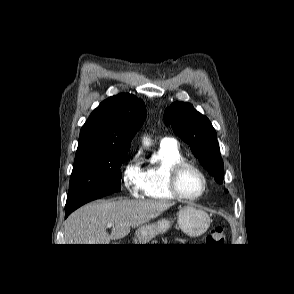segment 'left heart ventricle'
<instances>
[{
	"label": "left heart ventricle",
	"mask_w": 294,
	"mask_h": 294,
	"mask_svg": "<svg viewBox=\"0 0 294 294\" xmlns=\"http://www.w3.org/2000/svg\"><path fill=\"white\" fill-rule=\"evenodd\" d=\"M202 179L192 169H185L179 177V188L187 196H195L202 189Z\"/></svg>",
	"instance_id": "left-heart-ventricle-1"
}]
</instances>
